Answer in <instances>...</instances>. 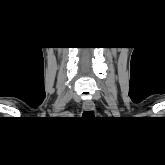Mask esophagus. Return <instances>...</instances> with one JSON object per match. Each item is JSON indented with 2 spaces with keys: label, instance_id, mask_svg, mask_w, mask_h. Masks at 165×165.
Masks as SVG:
<instances>
[{
  "label": "esophagus",
  "instance_id": "34e87169",
  "mask_svg": "<svg viewBox=\"0 0 165 165\" xmlns=\"http://www.w3.org/2000/svg\"><path fill=\"white\" fill-rule=\"evenodd\" d=\"M83 108L86 111H92L95 108V104L93 103V101L88 100L83 103Z\"/></svg>",
  "mask_w": 165,
  "mask_h": 165
}]
</instances>
